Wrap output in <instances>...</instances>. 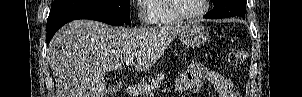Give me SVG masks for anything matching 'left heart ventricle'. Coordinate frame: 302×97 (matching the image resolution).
<instances>
[{"mask_svg": "<svg viewBox=\"0 0 302 97\" xmlns=\"http://www.w3.org/2000/svg\"><path fill=\"white\" fill-rule=\"evenodd\" d=\"M175 3L179 12L186 15L196 13L202 7V0H176Z\"/></svg>", "mask_w": 302, "mask_h": 97, "instance_id": "left-heart-ventricle-1", "label": "left heart ventricle"}]
</instances>
